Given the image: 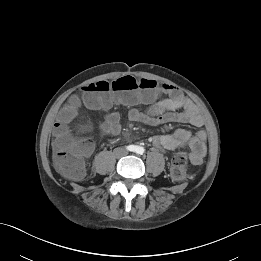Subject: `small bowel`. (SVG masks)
<instances>
[{
	"label": "small bowel",
	"mask_w": 261,
	"mask_h": 261,
	"mask_svg": "<svg viewBox=\"0 0 261 261\" xmlns=\"http://www.w3.org/2000/svg\"><path fill=\"white\" fill-rule=\"evenodd\" d=\"M160 92L167 97L148 104L145 110L132 107L127 112L129 121L143 123L146 125H163L169 122L182 124H191L200 130L192 133L186 129H177L171 134L156 135L152 138V143L158 148L165 150H175L178 148H187L190 150V160L193 165L201 164L207 152V133L202 128L205 125V118L199 108L183 93L170 85H163ZM109 100L104 107L113 104L112 97H106ZM122 114L117 111H107L102 123L103 131L108 135H117L122 129ZM62 121L56 124L59 128ZM94 150V145L89 143L84 156L89 157Z\"/></svg>",
	"instance_id": "obj_1"
}]
</instances>
